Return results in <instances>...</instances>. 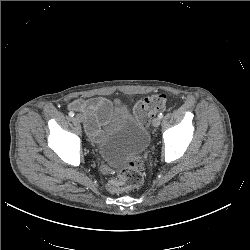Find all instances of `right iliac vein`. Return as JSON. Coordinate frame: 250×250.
Here are the masks:
<instances>
[{
  "label": "right iliac vein",
  "instance_id": "obj_1",
  "mask_svg": "<svg viewBox=\"0 0 250 250\" xmlns=\"http://www.w3.org/2000/svg\"><path fill=\"white\" fill-rule=\"evenodd\" d=\"M74 119H75L77 122H80V123H82V122L84 121V117H83V115H81V114L75 115Z\"/></svg>",
  "mask_w": 250,
  "mask_h": 250
}]
</instances>
